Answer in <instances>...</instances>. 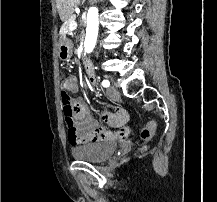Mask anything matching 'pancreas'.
Segmentation results:
<instances>
[{
	"label": "pancreas",
	"mask_w": 217,
	"mask_h": 202,
	"mask_svg": "<svg viewBox=\"0 0 217 202\" xmlns=\"http://www.w3.org/2000/svg\"><path fill=\"white\" fill-rule=\"evenodd\" d=\"M71 21L74 19L72 16L69 18ZM63 26L60 28L62 31V33L64 34H66V33H68L69 32V26H70V22H64L63 24H62ZM69 34H73V32H69Z\"/></svg>",
	"instance_id": "1"
}]
</instances>
